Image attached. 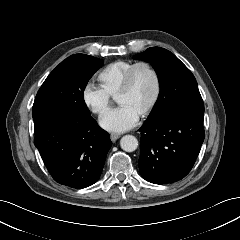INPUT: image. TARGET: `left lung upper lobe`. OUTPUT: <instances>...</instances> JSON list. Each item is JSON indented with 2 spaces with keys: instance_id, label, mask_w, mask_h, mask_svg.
Returning a JSON list of instances; mask_svg holds the SVG:
<instances>
[{
  "instance_id": "5c2ea615",
  "label": "left lung upper lobe",
  "mask_w": 240,
  "mask_h": 240,
  "mask_svg": "<svg viewBox=\"0 0 240 240\" xmlns=\"http://www.w3.org/2000/svg\"><path fill=\"white\" fill-rule=\"evenodd\" d=\"M134 58L152 63L159 78V97L146 122L158 121L178 110L204 112L194 75L172 52L151 47Z\"/></svg>"
}]
</instances>
